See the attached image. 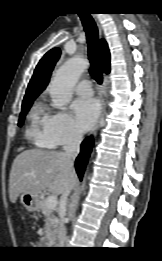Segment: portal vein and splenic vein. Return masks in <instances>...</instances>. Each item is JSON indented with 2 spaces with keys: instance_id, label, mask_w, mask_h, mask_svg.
<instances>
[{
  "instance_id": "18ae733b",
  "label": "portal vein and splenic vein",
  "mask_w": 162,
  "mask_h": 261,
  "mask_svg": "<svg viewBox=\"0 0 162 261\" xmlns=\"http://www.w3.org/2000/svg\"><path fill=\"white\" fill-rule=\"evenodd\" d=\"M57 197L54 196V195H51V196H48L47 200H46V204H47V207L54 210L57 206Z\"/></svg>"
}]
</instances>
